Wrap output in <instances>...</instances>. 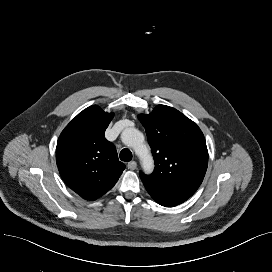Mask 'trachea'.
<instances>
[{"label":"trachea","mask_w":272,"mask_h":272,"mask_svg":"<svg viewBox=\"0 0 272 272\" xmlns=\"http://www.w3.org/2000/svg\"><path fill=\"white\" fill-rule=\"evenodd\" d=\"M120 159L124 162H129L132 160V153L129 149L125 148L120 152Z\"/></svg>","instance_id":"trachea-1"}]
</instances>
